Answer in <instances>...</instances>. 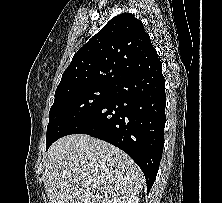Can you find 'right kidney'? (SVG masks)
I'll list each match as a JSON object with an SVG mask.
<instances>
[{
  "instance_id": "obj_1",
  "label": "right kidney",
  "mask_w": 222,
  "mask_h": 203,
  "mask_svg": "<svg viewBox=\"0 0 222 203\" xmlns=\"http://www.w3.org/2000/svg\"><path fill=\"white\" fill-rule=\"evenodd\" d=\"M119 203H139V198L136 195H132L123 198Z\"/></svg>"
}]
</instances>
